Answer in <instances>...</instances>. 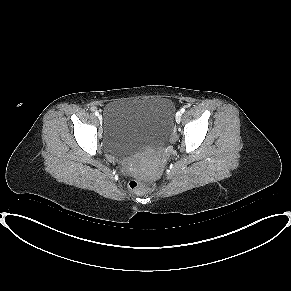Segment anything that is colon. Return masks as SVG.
Instances as JSON below:
<instances>
[{"mask_svg": "<svg viewBox=\"0 0 291 291\" xmlns=\"http://www.w3.org/2000/svg\"><path fill=\"white\" fill-rule=\"evenodd\" d=\"M130 187L133 190L146 191L151 187V183L149 181L133 177L130 181Z\"/></svg>", "mask_w": 291, "mask_h": 291, "instance_id": "obj_1", "label": "colon"}]
</instances>
